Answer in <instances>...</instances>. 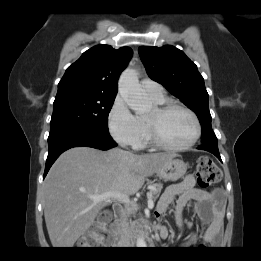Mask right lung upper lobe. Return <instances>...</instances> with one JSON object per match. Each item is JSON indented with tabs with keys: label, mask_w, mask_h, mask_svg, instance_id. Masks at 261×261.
<instances>
[{
	"label": "right lung upper lobe",
	"mask_w": 261,
	"mask_h": 261,
	"mask_svg": "<svg viewBox=\"0 0 261 261\" xmlns=\"http://www.w3.org/2000/svg\"><path fill=\"white\" fill-rule=\"evenodd\" d=\"M131 57L129 47L96 45L67 68L57 94L116 96L118 78Z\"/></svg>",
	"instance_id": "right-lung-upper-lobe-1"
}]
</instances>
